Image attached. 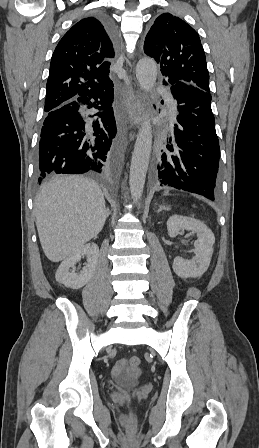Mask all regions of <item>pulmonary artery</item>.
I'll list each match as a JSON object with an SVG mask.
<instances>
[{
  "instance_id": "e3ab8cb5",
  "label": "pulmonary artery",
  "mask_w": 259,
  "mask_h": 448,
  "mask_svg": "<svg viewBox=\"0 0 259 448\" xmlns=\"http://www.w3.org/2000/svg\"><path fill=\"white\" fill-rule=\"evenodd\" d=\"M165 100L167 102V106L169 111L176 112V102L171 95H166Z\"/></svg>"
}]
</instances>
